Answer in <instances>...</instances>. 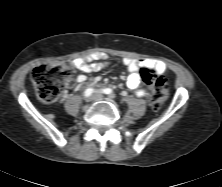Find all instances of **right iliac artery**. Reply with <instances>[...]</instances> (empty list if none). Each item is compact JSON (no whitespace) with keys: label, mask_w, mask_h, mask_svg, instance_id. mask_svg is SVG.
Instances as JSON below:
<instances>
[{"label":"right iliac artery","mask_w":222,"mask_h":187,"mask_svg":"<svg viewBox=\"0 0 222 187\" xmlns=\"http://www.w3.org/2000/svg\"><path fill=\"white\" fill-rule=\"evenodd\" d=\"M93 92H94V89L88 88V89L85 90L84 95L86 97H89Z\"/></svg>","instance_id":"obj_1"}]
</instances>
